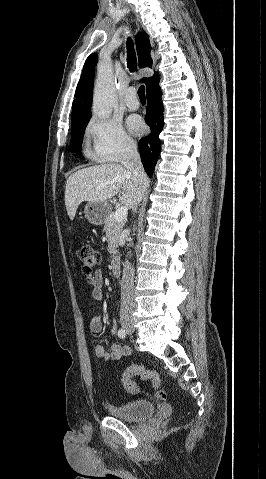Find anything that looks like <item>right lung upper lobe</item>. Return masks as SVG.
Segmentation results:
<instances>
[{
    "mask_svg": "<svg viewBox=\"0 0 266 479\" xmlns=\"http://www.w3.org/2000/svg\"><path fill=\"white\" fill-rule=\"evenodd\" d=\"M136 48L139 58V66L151 67V45L149 42V37L146 33L142 32L136 35ZM96 61L97 54L94 53L87 58L84 64L82 75L76 88V99L73 101L72 105V123L91 117L93 81ZM142 82L146 84L148 89L153 84L159 82V76L155 72L152 77L143 78Z\"/></svg>",
    "mask_w": 266,
    "mask_h": 479,
    "instance_id": "cb5924a9",
    "label": "right lung upper lobe"
}]
</instances>
